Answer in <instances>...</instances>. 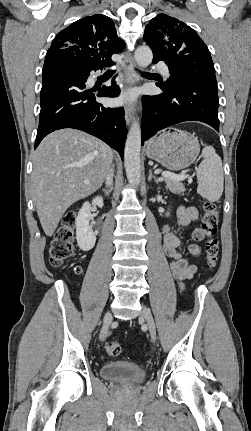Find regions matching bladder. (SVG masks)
I'll use <instances>...</instances> for the list:
<instances>
[{
    "label": "bladder",
    "mask_w": 251,
    "mask_h": 431,
    "mask_svg": "<svg viewBox=\"0 0 251 431\" xmlns=\"http://www.w3.org/2000/svg\"><path fill=\"white\" fill-rule=\"evenodd\" d=\"M101 376L121 385H135L147 378V371L141 366L129 361H111L100 368Z\"/></svg>",
    "instance_id": "1"
}]
</instances>
